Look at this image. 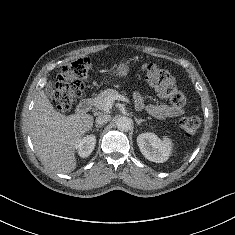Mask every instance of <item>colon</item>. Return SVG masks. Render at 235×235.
Segmentation results:
<instances>
[{"mask_svg":"<svg viewBox=\"0 0 235 235\" xmlns=\"http://www.w3.org/2000/svg\"><path fill=\"white\" fill-rule=\"evenodd\" d=\"M91 69L92 61L87 57L70 61L63 67L56 80L53 96V102L59 112H67L73 107L84 90V80ZM140 70L144 79L172 105L182 107L188 103L175 79L167 70L153 63H143ZM179 126L186 136L192 137L200 126V119L193 115L184 116L180 119Z\"/></svg>","mask_w":235,"mask_h":235,"instance_id":"obj_1","label":"colon"}]
</instances>
